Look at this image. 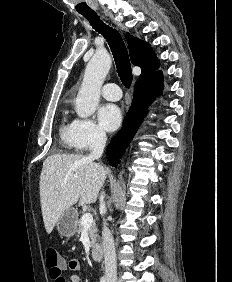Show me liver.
<instances>
[{"instance_id": "6515ba94", "label": "liver", "mask_w": 232, "mask_h": 282, "mask_svg": "<svg viewBox=\"0 0 232 282\" xmlns=\"http://www.w3.org/2000/svg\"><path fill=\"white\" fill-rule=\"evenodd\" d=\"M105 169L86 156L55 154L43 162L40 202L46 232L50 234L64 211L94 203L105 180Z\"/></svg>"}]
</instances>
